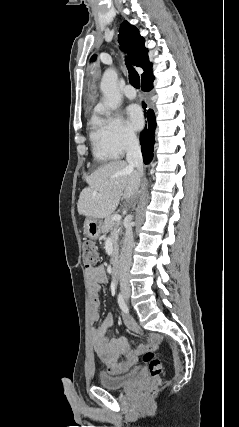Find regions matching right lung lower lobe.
<instances>
[{
	"label": "right lung lower lobe",
	"instance_id": "1",
	"mask_svg": "<svg viewBox=\"0 0 239 427\" xmlns=\"http://www.w3.org/2000/svg\"><path fill=\"white\" fill-rule=\"evenodd\" d=\"M153 80V75L142 79L141 89L143 91H150L153 88ZM143 107L145 108V105H143ZM147 120L148 126L145 127L144 131L140 135L141 150L145 164H148L153 157L154 132L156 128V121L154 112L152 110H148Z\"/></svg>",
	"mask_w": 239,
	"mask_h": 427
}]
</instances>
